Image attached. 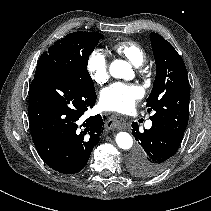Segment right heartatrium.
Returning a JSON list of instances; mask_svg holds the SVG:
<instances>
[{"instance_id": "obj_1", "label": "right heart atrium", "mask_w": 211, "mask_h": 211, "mask_svg": "<svg viewBox=\"0 0 211 211\" xmlns=\"http://www.w3.org/2000/svg\"><path fill=\"white\" fill-rule=\"evenodd\" d=\"M86 67L90 77L95 83L101 85L108 80V59L101 50L95 49L89 54Z\"/></svg>"}]
</instances>
